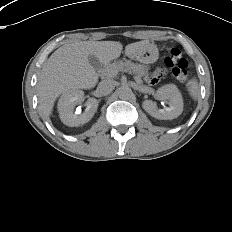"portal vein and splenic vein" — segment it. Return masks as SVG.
<instances>
[{
	"mask_svg": "<svg viewBox=\"0 0 232 232\" xmlns=\"http://www.w3.org/2000/svg\"><path fill=\"white\" fill-rule=\"evenodd\" d=\"M109 75H110V76L115 75V71H111V72L109 73ZM134 79H135L137 82H141L136 76H134Z\"/></svg>",
	"mask_w": 232,
	"mask_h": 232,
	"instance_id": "18ae733b",
	"label": "portal vein and splenic vein"
}]
</instances>
